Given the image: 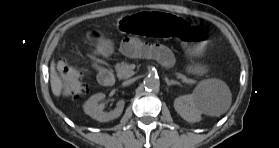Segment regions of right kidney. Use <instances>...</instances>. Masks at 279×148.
Returning <instances> with one entry per match:
<instances>
[{
  "label": "right kidney",
  "mask_w": 279,
  "mask_h": 148,
  "mask_svg": "<svg viewBox=\"0 0 279 148\" xmlns=\"http://www.w3.org/2000/svg\"><path fill=\"white\" fill-rule=\"evenodd\" d=\"M104 99L105 94L103 93H98L91 96L84 104L85 113L100 122H108L110 120L118 118L123 112L125 102L123 100H120L117 103V107L113 111L104 112L103 109L105 104L101 102Z\"/></svg>",
  "instance_id": "1"
}]
</instances>
